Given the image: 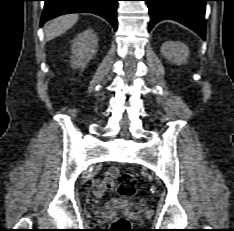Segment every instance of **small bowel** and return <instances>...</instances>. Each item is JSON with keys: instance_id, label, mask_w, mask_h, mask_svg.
Masks as SVG:
<instances>
[{"instance_id": "obj_1", "label": "small bowel", "mask_w": 234, "mask_h": 231, "mask_svg": "<svg viewBox=\"0 0 234 231\" xmlns=\"http://www.w3.org/2000/svg\"><path fill=\"white\" fill-rule=\"evenodd\" d=\"M116 172L115 168H109L103 179H97L92 183L91 189L95 197H102L105 192L114 188Z\"/></svg>"}]
</instances>
